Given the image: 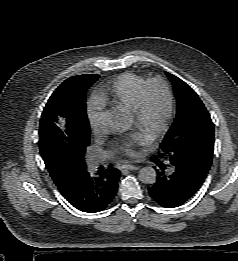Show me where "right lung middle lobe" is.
Returning a JSON list of instances; mask_svg holds the SVG:
<instances>
[{"label":"right lung middle lobe","instance_id":"obj_1","mask_svg":"<svg viewBox=\"0 0 238 261\" xmlns=\"http://www.w3.org/2000/svg\"><path fill=\"white\" fill-rule=\"evenodd\" d=\"M99 75L84 74L65 80L48 100L39 126V149L47 170L54 179L73 182L86 172L85 154L90 144L86 115V91ZM66 120L83 128L76 139H68L62 125Z\"/></svg>","mask_w":238,"mask_h":261}]
</instances>
